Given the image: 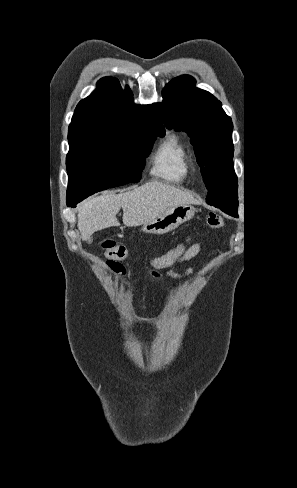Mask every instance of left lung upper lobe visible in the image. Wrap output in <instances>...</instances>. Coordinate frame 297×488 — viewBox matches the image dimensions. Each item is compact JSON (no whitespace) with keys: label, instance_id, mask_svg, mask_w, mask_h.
<instances>
[{"label":"left lung upper lobe","instance_id":"1","mask_svg":"<svg viewBox=\"0 0 297 488\" xmlns=\"http://www.w3.org/2000/svg\"><path fill=\"white\" fill-rule=\"evenodd\" d=\"M168 129L185 131L191 138L208 194L206 202L237 216L238 182L233 167V123L211 93L195 87L182 75L163 90V102L153 104Z\"/></svg>","mask_w":297,"mask_h":488}]
</instances>
